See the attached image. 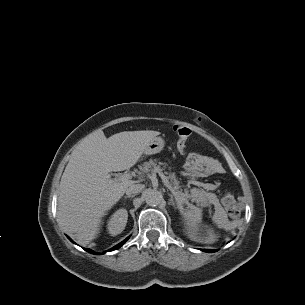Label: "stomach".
Wrapping results in <instances>:
<instances>
[{"label": "stomach", "mask_w": 305, "mask_h": 305, "mask_svg": "<svg viewBox=\"0 0 305 305\" xmlns=\"http://www.w3.org/2000/svg\"><path fill=\"white\" fill-rule=\"evenodd\" d=\"M165 146V141L161 137H155L152 139L144 148V155H152L159 153L163 150Z\"/></svg>", "instance_id": "stomach-1"}]
</instances>
